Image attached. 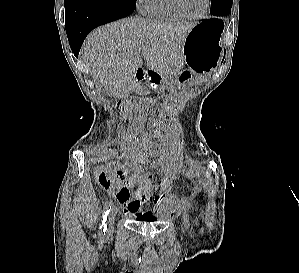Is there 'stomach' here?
<instances>
[{
  "instance_id": "obj_1",
  "label": "stomach",
  "mask_w": 299,
  "mask_h": 273,
  "mask_svg": "<svg viewBox=\"0 0 299 273\" xmlns=\"http://www.w3.org/2000/svg\"><path fill=\"white\" fill-rule=\"evenodd\" d=\"M224 23L212 18L198 23L186 36L183 56L184 64L189 67H177L181 72L174 79L164 78L165 86L170 89L176 84L192 81L193 73H207L217 66L222 53V35Z\"/></svg>"
}]
</instances>
